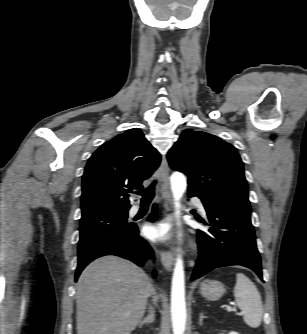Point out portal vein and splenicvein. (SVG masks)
<instances>
[{"label": "portal vein and splenic vein", "instance_id": "obj_1", "mask_svg": "<svg viewBox=\"0 0 307 334\" xmlns=\"http://www.w3.org/2000/svg\"><path fill=\"white\" fill-rule=\"evenodd\" d=\"M227 310H228V311H232V307L228 306V307H227Z\"/></svg>", "mask_w": 307, "mask_h": 334}]
</instances>
